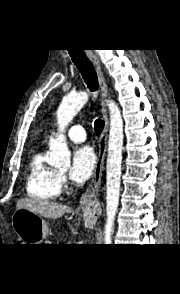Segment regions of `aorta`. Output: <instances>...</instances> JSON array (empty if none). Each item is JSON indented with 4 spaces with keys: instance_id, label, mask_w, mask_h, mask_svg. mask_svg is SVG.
<instances>
[{
    "instance_id": "762f6f07",
    "label": "aorta",
    "mask_w": 180,
    "mask_h": 294,
    "mask_svg": "<svg viewBox=\"0 0 180 294\" xmlns=\"http://www.w3.org/2000/svg\"><path fill=\"white\" fill-rule=\"evenodd\" d=\"M88 101L86 92L67 95L63 98L57 110V123L59 133L50 139V161L57 168L67 169L70 166L71 153L68 149L65 129L74 116ZM110 112V131L108 141V155L106 165V224L104 229V242L111 244V236L119 204L121 184V164L123 149V120L118 105L107 101Z\"/></svg>"
}]
</instances>
